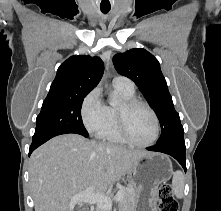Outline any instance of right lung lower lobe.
<instances>
[{"label":"right lung lower lobe","instance_id":"obj_1","mask_svg":"<svg viewBox=\"0 0 221 211\" xmlns=\"http://www.w3.org/2000/svg\"><path fill=\"white\" fill-rule=\"evenodd\" d=\"M67 133H76V134H80L77 133L75 131H58V132H51L45 135H41L39 137H35L33 138L32 144L30 146L29 149V155L40 145H42L43 143H45L46 141H48L49 139L57 136V135H61V134H67ZM83 135V134H80ZM84 137H88V135H83Z\"/></svg>","mask_w":221,"mask_h":211}]
</instances>
